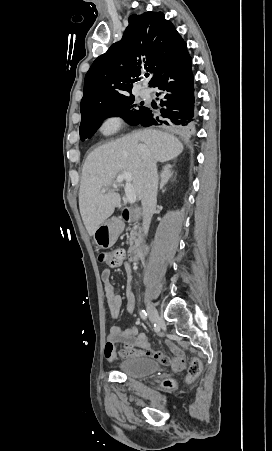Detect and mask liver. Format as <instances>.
I'll return each instance as SVG.
<instances>
[{"mask_svg":"<svg viewBox=\"0 0 272 451\" xmlns=\"http://www.w3.org/2000/svg\"><path fill=\"white\" fill-rule=\"evenodd\" d=\"M139 142H143L142 146ZM142 150H149L154 162H169L181 154L183 146L173 134L147 128L98 146L87 156L82 168L79 208L89 235L121 204V196L114 190L101 192L113 184L117 174L131 172L134 192L141 200L145 180Z\"/></svg>","mask_w":272,"mask_h":451,"instance_id":"1","label":"liver"}]
</instances>
